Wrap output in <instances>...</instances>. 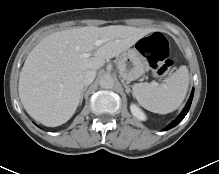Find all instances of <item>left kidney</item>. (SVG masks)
Wrapping results in <instances>:
<instances>
[{
    "instance_id": "1",
    "label": "left kidney",
    "mask_w": 219,
    "mask_h": 174,
    "mask_svg": "<svg viewBox=\"0 0 219 174\" xmlns=\"http://www.w3.org/2000/svg\"><path fill=\"white\" fill-rule=\"evenodd\" d=\"M130 110L132 115L136 117L138 120L144 121L146 119L144 112L137 105L131 104Z\"/></svg>"
}]
</instances>
